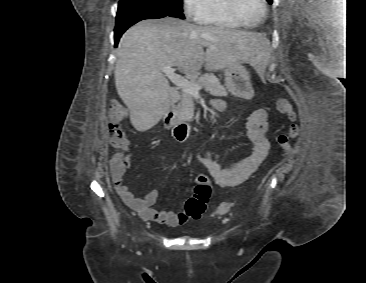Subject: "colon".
<instances>
[{
	"mask_svg": "<svg viewBox=\"0 0 366 283\" xmlns=\"http://www.w3.org/2000/svg\"><path fill=\"white\" fill-rule=\"evenodd\" d=\"M279 113L285 115L291 122L290 125L277 136V143L284 154L291 151V141L298 135V125L296 114L287 99H279L276 103ZM125 116V109L118 101H113L108 110L110 144L117 149L127 151L129 140L120 124ZM118 163L122 167H128L129 157L118 154ZM212 194V186L209 178L204 174H199L195 178L194 195L186 201L184 215L186 218L199 219L209 202ZM232 207L230 202L221 203L216 207L215 214L223 215Z\"/></svg>",
	"mask_w": 366,
	"mask_h": 283,
	"instance_id": "5ec220e1",
	"label": "colon"
}]
</instances>
